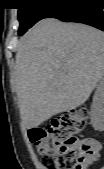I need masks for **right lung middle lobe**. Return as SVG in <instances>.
<instances>
[{"label": "right lung middle lobe", "mask_w": 104, "mask_h": 169, "mask_svg": "<svg viewBox=\"0 0 104 169\" xmlns=\"http://www.w3.org/2000/svg\"><path fill=\"white\" fill-rule=\"evenodd\" d=\"M62 0H18L19 35L24 34L36 22L45 18Z\"/></svg>", "instance_id": "right-lung-middle-lobe-1"}]
</instances>
